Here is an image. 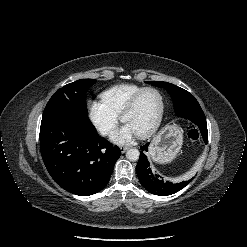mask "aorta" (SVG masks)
I'll return each mask as SVG.
<instances>
[{"mask_svg":"<svg viewBox=\"0 0 247 247\" xmlns=\"http://www.w3.org/2000/svg\"><path fill=\"white\" fill-rule=\"evenodd\" d=\"M139 150L136 148H131L126 152V158L130 161H137L139 159Z\"/></svg>","mask_w":247,"mask_h":247,"instance_id":"obj_1","label":"aorta"}]
</instances>
